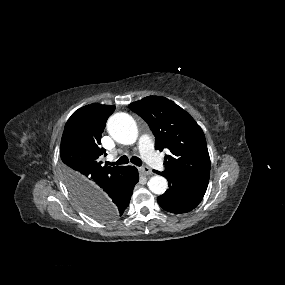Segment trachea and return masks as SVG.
Returning a JSON list of instances; mask_svg holds the SVG:
<instances>
[{
    "label": "trachea",
    "mask_w": 285,
    "mask_h": 285,
    "mask_svg": "<svg viewBox=\"0 0 285 285\" xmlns=\"http://www.w3.org/2000/svg\"><path fill=\"white\" fill-rule=\"evenodd\" d=\"M130 161L136 166H141L142 161L140 158L133 156L130 158ZM129 163V158L126 155L121 156L116 162L109 163V165H123Z\"/></svg>",
    "instance_id": "3493384b"
}]
</instances>
